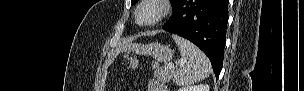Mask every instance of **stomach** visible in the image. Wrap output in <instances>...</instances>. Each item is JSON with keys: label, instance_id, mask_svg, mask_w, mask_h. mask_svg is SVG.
<instances>
[{"label": "stomach", "instance_id": "stomach-1", "mask_svg": "<svg viewBox=\"0 0 304 91\" xmlns=\"http://www.w3.org/2000/svg\"><path fill=\"white\" fill-rule=\"evenodd\" d=\"M142 53H147L151 55L157 62H169L174 56V51L166 45H161L158 43L150 44L147 46ZM129 68L135 70L138 67V60L136 56H128Z\"/></svg>", "mask_w": 304, "mask_h": 91}]
</instances>
